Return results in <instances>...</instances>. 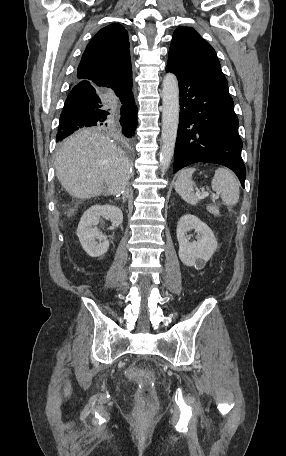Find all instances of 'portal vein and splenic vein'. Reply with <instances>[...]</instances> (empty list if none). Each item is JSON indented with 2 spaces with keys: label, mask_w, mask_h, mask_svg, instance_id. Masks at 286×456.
Returning <instances> with one entry per match:
<instances>
[{
  "label": "portal vein and splenic vein",
  "mask_w": 286,
  "mask_h": 456,
  "mask_svg": "<svg viewBox=\"0 0 286 456\" xmlns=\"http://www.w3.org/2000/svg\"><path fill=\"white\" fill-rule=\"evenodd\" d=\"M207 196H209V193H208V192H204V193L202 194V198L207 197ZM212 197H213L214 199H217V198H218V196L215 195V194H212Z\"/></svg>",
  "instance_id": "obj_1"
}]
</instances>
